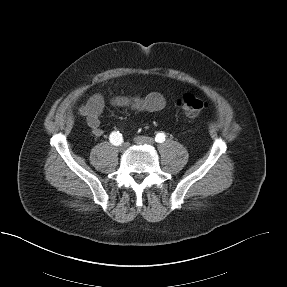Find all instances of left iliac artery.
<instances>
[{"label": "left iliac artery", "instance_id": "left-iliac-artery-1", "mask_svg": "<svg viewBox=\"0 0 287 287\" xmlns=\"http://www.w3.org/2000/svg\"><path fill=\"white\" fill-rule=\"evenodd\" d=\"M165 134L164 133H158L155 137V141L157 143H163L165 141Z\"/></svg>", "mask_w": 287, "mask_h": 287}]
</instances>
